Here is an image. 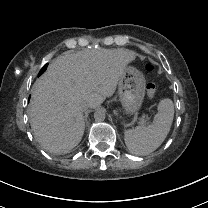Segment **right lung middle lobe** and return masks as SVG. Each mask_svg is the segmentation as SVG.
Here are the masks:
<instances>
[{
    "label": "right lung middle lobe",
    "instance_id": "obj_1",
    "mask_svg": "<svg viewBox=\"0 0 208 208\" xmlns=\"http://www.w3.org/2000/svg\"><path fill=\"white\" fill-rule=\"evenodd\" d=\"M46 66H47V64L40 70L39 75H41L46 70V68H47Z\"/></svg>",
    "mask_w": 208,
    "mask_h": 208
}]
</instances>
